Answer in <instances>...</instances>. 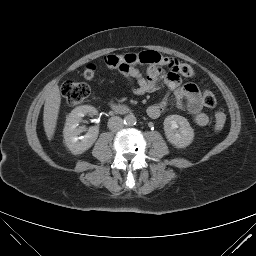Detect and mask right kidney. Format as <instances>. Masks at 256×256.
<instances>
[{
  "instance_id": "ca27d5eb",
  "label": "right kidney",
  "mask_w": 256,
  "mask_h": 256,
  "mask_svg": "<svg viewBox=\"0 0 256 256\" xmlns=\"http://www.w3.org/2000/svg\"><path fill=\"white\" fill-rule=\"evenodd\" d=\"M87 114L96 115L97 110L92 106L83 105L73 109L66 117L63 130L64 141L65 145L74 155L82 154L88 150L98 137V127L89 128L86 135L79 137L84 131V127L79 126V123L82 121V117Z\"/></svg>"
}]
</instances>
